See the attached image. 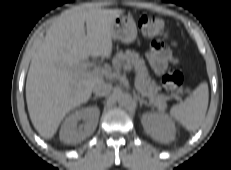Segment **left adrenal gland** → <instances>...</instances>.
<instances>
[{
	"instance_id": "1",
	"label": "left adrenal gland",
	"mask_w": 231,
	"mask_h": 170,
	"mask_svg": "<svg viewBox=\"0 0 231 170\" xmlns=\"http://www.w3.org/2000/svg\"><path fill=\"white\" fill-rule=\"evenodd\" d=\"M138 100L140 103V107H142V105H147V106L151 105L150 103H147V101H145L142 97H140V95H138Z\"/></svg>"
}]
</instances>
